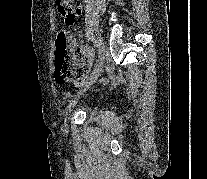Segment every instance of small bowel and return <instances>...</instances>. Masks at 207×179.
Instances as JSON below:
<instances>
[{"label":"small bowel","mask_w":207,"mask_h":179,"mask_svg":"<svg viewBox=\"0 0 207 179\" xmlns=\"http://www.w3.org/2000/svg\"><path fill=\"white\" fill-rule=\"evenodd\" d=\"M81 13H82V7H77V8H75L74 11H73V14H72L71 23H73L74 18H75L76 16L81 15ZM71 45H72V48H73V49H77V48H78V47H77V44H76V42H75L74 39L71 40ZM95 68H96V67H95ZM102 82H103V83H108V82L114 83V81H109L108 79H103Z\"/></svg>","instance_id":"1"}]
</instances>
